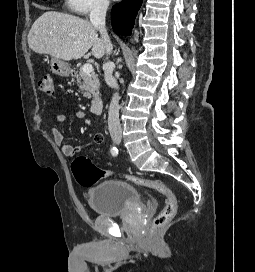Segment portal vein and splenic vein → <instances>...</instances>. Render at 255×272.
Masks as SVG:
<instances>
[{
    "label": "portal vein and splenic vein",
    "instance_id": "obj_1",
    "mask_svg": "<svg viewBox=\"0 0 255 272\" xmlns=\"http://www.w3.org/2000/svg\"><path fill=\"white\" fill-rule=\"evenodd\" d=\"M82 71L85 72V73H91L93 71V67H92L91 64L86 63V64L83 65Z\"/></svg>",
    "mask_w": 255,
    "mask_h": 272
}]
</instances>
